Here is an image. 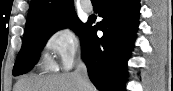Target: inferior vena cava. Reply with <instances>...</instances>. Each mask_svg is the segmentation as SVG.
<instances>
[{
    "instance_id": "602c4592",
    "label": "inferior vena cava",
    "mask_w": 173,
    "mask_h": 91,
    "mask_svg": "<svg viewBox=\"0 0 173 91\" xmlns=\"http://www.w3.org/2000/svg\"><path fill=\"white\" fill-rule=\"evenodd\" d=\"M74 75L76 76L78 83L80 85V91H87L86 88H88L90 85L87 67L86 64L80 59L77 61Z\"/></svg>"
}]
</instances>
